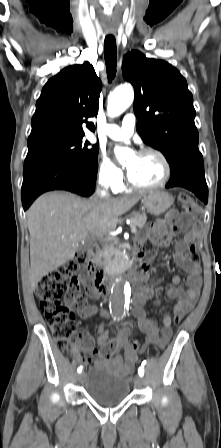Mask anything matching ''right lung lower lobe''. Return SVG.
<instances>
[{
	"instance_id": "obj_1",
	"label": "right lung lower lobe",
	"mask_w": 221,
	"mask_h": 448,
	"mask_svg": "<svg viewBox=\"0 0 221 448\" xmlns=\"http://www.w3.org/2000/svg\"><path fill=\"white\" fill-rule=\"evenodd\" d=\"M97 169L98 164L88 168L54 156L26 157L21 189L24 210L40 194L51 190L90 196L95 190Z\"/></svg>"
}]
</instances>
